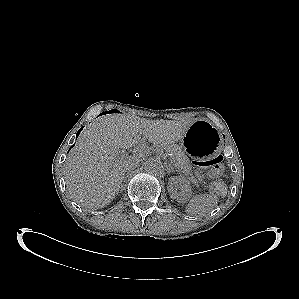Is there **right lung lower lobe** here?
Masks as SVG:
<instances>
[{
	"mask_svg": "<svg viewBox=\"0 0 299 299\" xmlns=\"http://www.w3.org/2000/svg\"><path fill=\"white\" fill-rule=\"evenodd\" d=\"M82 129H83V128H81V129L78 131V134L81 132ZM78 134H77V137H78Z\"/></svg>",
	"mask_w": 299,
	"mask_h": 299,
	"instance_id": "98d812e1",
	"label": "right lung lower lobe"
}]
</instances>
